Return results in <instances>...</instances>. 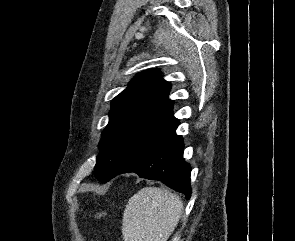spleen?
I'll list each match as a JSON object with an SVG mask.
<instances>
[{
  "label": "spleen",
  "mask_w": 295,
  "mask_h": 241,
  "mask_svg": "<svg viewBox=\"0 0 295 241\" xmlns=\"http://www.w3.org/2000/svg\"><path fill=\"white\" fill-rule=\"evenodd\" d=\"M181 199L165 188L145 187L131 197L122 219L124 241H167L182 215Z\"/></svg>",
  "instance_id": "spleen-1"
}]
</instances>
